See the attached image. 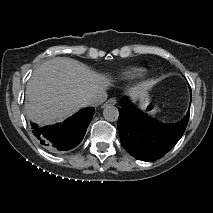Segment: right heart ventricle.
<instances>
[{
  "instance_id": "1",
  "label": "right heart ventricle",
  "mask_w": 213,
  "mask_h": 213,
  "mask_svg": "<svg viewBox=\"0 0 213 213\" xmlns=\"http://www.w3.org/2000/svg\"><path fill=\"white\" fill-rule=\"evenodd\" d=\"M144 73V69L138 68V67H133L129 68L123 71L122 75L125 78H136L142 76Z\"/></svg>"
}]
</instances>
